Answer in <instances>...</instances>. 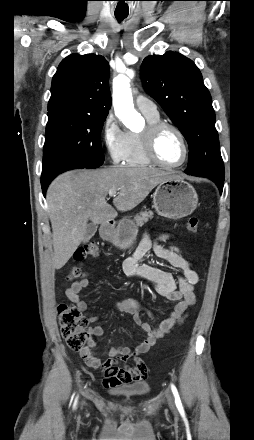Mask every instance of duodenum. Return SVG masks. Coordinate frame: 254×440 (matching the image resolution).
I'll return each mask as SVG.
<instances>
[{
	"label": "duodenum",
	"instance_id": "obj_1",
	"mask_svg": "<svg viewBox=\"0 0 254 440\" xmlns=\"http://www.w3.org/2000/svg\"><path fill=\"white\" fill-rule=\"evenodd\" d=\"M112 225H113V221H109V224L103 227V232L105 234H109L111 232Z\"/></svg>",
	"mask_w": 254,
	"mask_h": 440
}]
</instances>
